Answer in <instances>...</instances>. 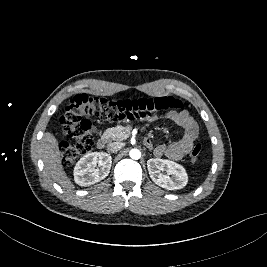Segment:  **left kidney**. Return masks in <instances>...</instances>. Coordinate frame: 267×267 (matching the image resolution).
Masks as SVG:
<instances>
[{
  "label": "left kidney",
  "instance_id": "1",
  "mask_svg": "<svg viewBox=\"0 0 267 267\" xmlns=\"http://www.w3.org/2000/svg\"><path fill=\"white\" fill-rule=\"evenodd\" d=\"M147 168L152 181L164 189H182L188 182L185 169L174 161L152 158L147 161Z\"/></svg>",
  "mask_w": 267,
  "mask_h": 267
}]
</instances>
